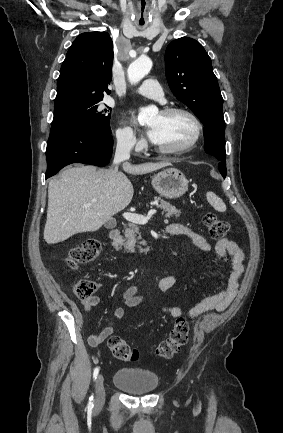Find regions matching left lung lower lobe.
Wrapping results in <instances>:
<instances>
[{
	"label": "left lung lower lobe",
	"instance_id": "1",
	"mask_svg": "<svg viewBox=\"0 0 283 433\" xmlns=\"http://www.w3.org/2000/svg\"><path fill=\"white\" fill-rule=\"evenodd\" d=\"M205 141V151L206 153L215 156L221 162L218 164L219 171L221 175L226 177V152H225V143H221L218 139L214 138L209 141Z\"/></svg>",
	"mask_w": 283,
	"mask_h": 433
}]
</instances>
